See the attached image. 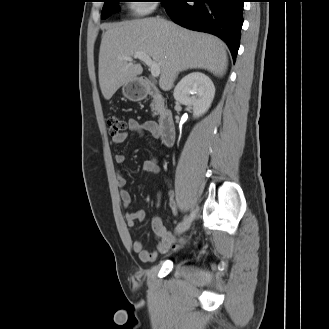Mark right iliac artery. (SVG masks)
<instances>
[{"label": "right iliac artery", "mask_w": 329, "mask_h": 329, "mask_svg": "<svg viewBox=\"0 0 329 329\" xmlns=\"http://www.w3.org/2000/svg\"><path fill=\"white\" fill-rule=\"evenodd\" d=\"M194 217H195V211L192 210V212L190 213V215L188 217H186L184 220H190V221H192Z\"/></svg>", "instance_id": "82829eb1"}]
</instances>
